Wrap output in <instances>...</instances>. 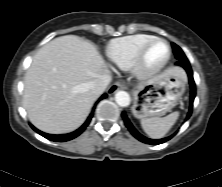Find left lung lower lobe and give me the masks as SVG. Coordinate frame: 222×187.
<instances>
[{
	"label": "left lung lower lobe",
	"mask_w": 222,
	"mask_h": 187,
	"mask_svg": "<svg viewBox=\"0 0 222 187\" xmlns=\"http://www.w3.org/2000/svg\"><path fill=\"white\" fill-rule=\"evenodd\" d=\"M176 65H179L181 67H183L187 74H188V78H189V84H190V88H191V93H190V107H189V111H188V114L186 116V119H189V117L191 116L192 114V109H193V101H194V98H195V95H196V86H195V82H194V79H193V72H192V69H191V66H190V63L188 60H178L176 62ZM122 118L124 120V123L126 125V127L128 128V130L130 131V133L136 138L138 139L139 141L143 142V143H146V144H151V145H158V144H162L166 141H168L169 139H171L175 134L169 136V137H166V138H162V139H150V138H147L145 136H143L142 134H140L135 128L134 126L132 125V123L130 122L129 118L127 117L126 113L125 112H122Z\"/></svg>",
	"instance_id": "0a47b994"
}]
</instances>
